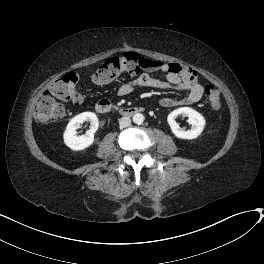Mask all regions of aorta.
I'll return each instance as SVG.
<instances>
[{"mask_svg": "<svg viewBox=\"0 0 264 264\" xmlns=\"http://www.w3.org/2000/svg\"><path fill=\"white\" fill-rule=\"evenodd\" d=\"M133 122L136 124H141L144 121V115L141 113H136L133 115Z\"/></svg>", "mask_w": 264, "mask_h": 264, "instance_id": "1", "label": "aorta"}]
</instances>
